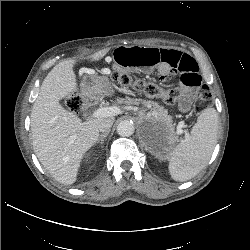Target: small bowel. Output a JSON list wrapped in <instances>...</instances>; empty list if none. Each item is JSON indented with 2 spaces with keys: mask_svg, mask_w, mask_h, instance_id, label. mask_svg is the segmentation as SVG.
<instances>
[{
  "mask_svg": "<svg viewBox=\"0 0 250 250\" xmlns=\"http://www.w3.org/2000/svg\"><path fill=\"white\" fill-rule=\"evenodd\" d=\"M113 66L120 71H129L144 76L156 73L161 80L171 75H180L183 92L179 109L186 111L195 89L201 86V75L197 62L188 54L173 49L139 46H121L113 52Z\"/></svg>",
  "mask_w": 250,
  "mask_h": 250,
  "instance_id": "small-bowel-1",
  "label": "small bowel"
}]
</instances>
